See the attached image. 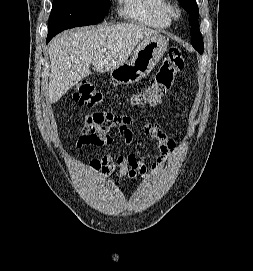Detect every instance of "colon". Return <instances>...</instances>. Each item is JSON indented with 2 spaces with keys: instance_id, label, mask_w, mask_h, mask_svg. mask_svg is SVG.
<instances>
[{
  "instance_id": "colon-1",
  "label": "colon",
  "mask_w": 253,
  "mask_h": 271,
  "mask_svg": "<svg viewBox=\"0 0 253 271\" xmlns=\"http://www.w3.org/2000/svg\"><path fill=\"white\" fill-rule=\"evenodd\" d=\"M185 67V59L181 51L172 47L168 50L160 71L142 91L130 96L135 105L156 106L170 92L174 82ZM75 100L86 107H96L105 101V94L95 90L89 82L81 83L75 92Z\"/></svg>"
}]
</instances>
